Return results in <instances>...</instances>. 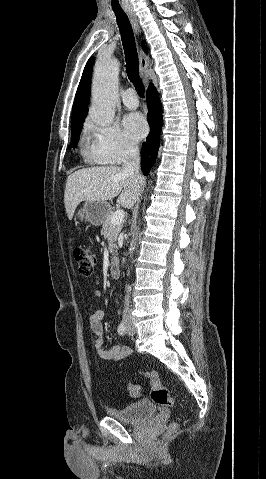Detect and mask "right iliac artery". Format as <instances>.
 <instances>
[{
	"label": "right iliac artery",
	"mask_w": 266,
	"mask_h": 479,
	"mask_svg": "<svg viewBox=\"0 0 266 479\" xmlns=\"http://www.w3.org/2000/svg\"><path fill=\"white\" fill-rule=\"evenodd\" d=\"M117 332L119 335L123 336L126 333V324L125 322H121L118 326Z\"/></svg>",
	"instance_id": "right-iliac-artery-1"
}]
</instances>
